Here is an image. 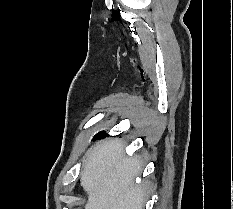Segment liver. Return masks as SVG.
<instances>
[{"instance_id": "obj_1", "label": "liver", "mask_w": 233, "mask_h": 209, "mask_svg": "<svg viewBox=\"0 0 233 209\" xmlns=\"http://www.w3.org/2000/svg\"><path fill=\"white\" fill-rule=\"evenodd\" d=\"M124 148L121 140L111 139L87 152L80 179L88 195L85 209H142L144 191L135 184L141 164Z\"/></svg>"}]
</instances>
